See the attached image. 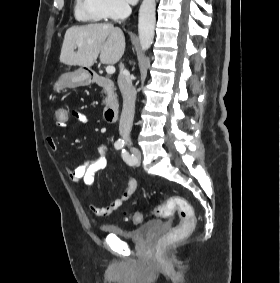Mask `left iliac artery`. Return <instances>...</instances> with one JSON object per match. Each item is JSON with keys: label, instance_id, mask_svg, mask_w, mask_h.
<instances>
[{"label": "left iliac artery", "instance_id": "1", "mask_svg": "<svg viewBox=\"0 0 280 283\" xmlns=\"http://www.w3.org/2000/svg\"><path fill=\"white\" fill-rule=\"evenodd\" d=\"M122 158L124 161H126L128 164L134 163V157L133 155H130L125 149L122 150Z\"/></svg>", "mask_w": 280, "mask_h": 283}]
</instances>
